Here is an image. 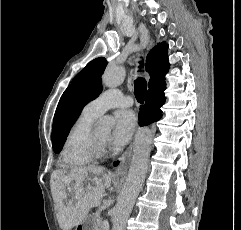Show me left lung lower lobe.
Masks as SVG:
<instances>
[{"mask_svg": "<svg viewBox=\"0 0 241 230\" xmlns=\"http://www.w3.org/2000/svg\"><path fill=\"white\" fill-rule=\"evenodd\" d=\"M118 162H115L114 165H117Z\"/></svg>", "mask_w": 241, "mask_h": 230, "instance_id": "1", "label": "left lung lower lobe"}]
</instances>
